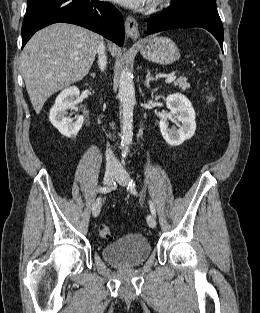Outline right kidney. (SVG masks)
<instances>
[{"instance_id":"1","label":"right kidney","mask_w":260,"mask_h":313,"mask_svg":"<svg viewBox=\"0 0 260 313\" xmlns=\"http://www.w3.org/2000/svg\"><path fill=\"white\" fill-rule=\"evenodd\" d=\"M80 92L77 87L64 89L56 98L54 106L50 110L49 119L54 127L65 137H75L80 131L84 118L78 116L71 121L66 115L68 109H73Z\"/></svg>"}]
</instances>
